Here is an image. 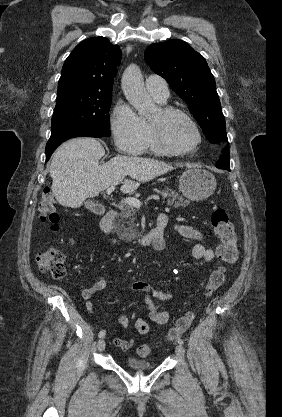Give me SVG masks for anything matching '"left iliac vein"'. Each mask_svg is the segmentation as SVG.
<instances>
[{"label":"left iliac vein","instance_id":"1","mask_svg":"<svg viewBox=\"0 0 282 417\" xmlns=\"http://www.w3.org/2000/svg\"><path fill=\"white\" fill-rule=\"evenodd\" d=\"M175 352H176V355H177L179 358H182V357L184 356L185 349H184V347H183L181 344H178V345L176 346V348H175Z\"/></svg>","mask_w":282,"mask_h":417}]
</instances>
